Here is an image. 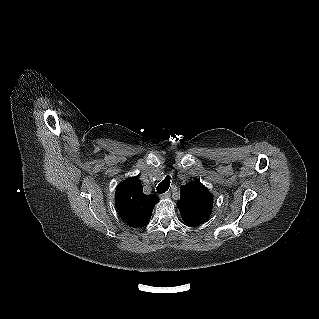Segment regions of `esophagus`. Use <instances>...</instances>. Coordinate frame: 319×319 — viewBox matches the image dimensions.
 Segmentation results:
<instances>
[{
  "label": "esophagus",
  "mask_w": 319,
  "mask_h": 319,
  "mask_svg": "<svg viewBox=\"0 0 319 319\" xmlns=\"http://www.w3.org/2000/svg\"><path fill=\"white\" fill-rule=\"evenodd\" d=\"M170 195H171L170 192H166V193H164V194H161V195H160V198H161V199H167V198L170 197Z\"/></svg>",
  "instance_id": "obj_1"
}]
</instances>
